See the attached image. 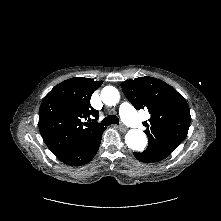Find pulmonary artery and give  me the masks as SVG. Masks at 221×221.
<instances>
[{"label": "pulmonary artery", "mask_w": 221, "mask_h": 221, "mask_svg": "<svg viewBox=\"0 0 221 221\" xmlns=\"http://www.w3.org/2000/svg\"><path fill=\"white\" fill-rule=\"evenodd\" d=\"M119 109L122 119L126 124L137 128L143 127L144 125L143 120L136 114L135 110L129 103L127 102L121 103Z\"/></svg>", "instance_id": "obj_1"}]
</instances>
